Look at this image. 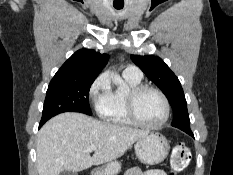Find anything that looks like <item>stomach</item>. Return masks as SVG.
<instances>
[{"label": "stomach", "instance_id": "obj_1", "mask_svg": "<svg viewBox=\"0 0 233 175\" xmlns=\"http://www.w3.org/2000/svg\"><path fill=\"white\" fill-rule=\"evenodd\" d=\"M169 148V142L162 134L149 132L137 141L135 153L142 163L155 165L165 160ZM120 169V163L112 161L104 167L94 169L91 175H117Z\"/></svg>", "mask_w": 233, "mask_h": 175}]
</instances>
